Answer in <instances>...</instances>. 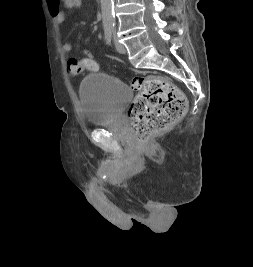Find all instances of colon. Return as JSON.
Returning <instances> with one entry per match:
<instances>
[{"label": "colon", "instance_id": "5ec220e1", "mask_svg": "<svg viewBox=\"0 0 253 267\" xmlns=\"http://www.w3.org/2000/svg\"><path fill=\"white\" fill-rule=\"evenodd\" d=\"M84 58L71 57L67 61L70 75H78L84 69L98 71L99 64L92 59L89 49L83 50ZM131 88L138 91L128 116L134 136L141 142L160 134L186 112L185 95L171 82L156 75H136Z\"/></svg>", "mask_w": 253, "mask_h": 267}]
</instances>
